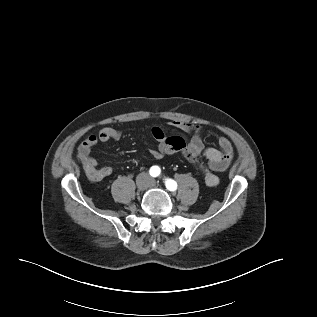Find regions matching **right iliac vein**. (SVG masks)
<instances>
[{
    "label": "right iliac vein",
    "instance_id": "1",
    "mask_svg": "<svg viewBox=\"0 0 317 317\" xmlns=\"http://www.w3.org/2000/svg\"><path fill=\"white\" fill-rule=\"evenodd\" d=\"M148 178L146 175H140L136 180L138 191H144L148 186Z\"/></svg>",
    "mask_w": 317,
    "mask_h": 317
}]
</instances>
